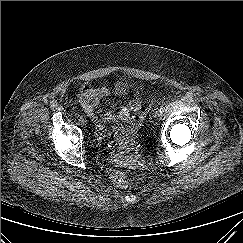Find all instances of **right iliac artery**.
I'll return each mask as SVG.
<instances>
[{
	"mask_svg": "<svg viewBox=\"0 0 243 243\" xmlns=\"http://www.w3.org/2000/svg\"><path fill=\"white\" fill-rule=\"evenodd\" d=\"M76 118H80V114L79 113H75L74 114Z\"/></svg>",
	"mask_w": 243,
	"mask_h": 243,
	"instance_id": "obj_1",
	"label": "right iliac artery"
}]
</instances>
